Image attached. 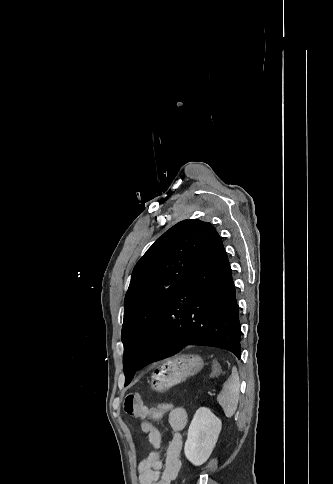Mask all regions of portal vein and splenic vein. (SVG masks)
Here are the masks:
<instances>
[{"mask_svg": "<svg viewBox=\"0 0 333 484\" xmlns=\"http://www.w3.org/2000/svg\"><path fill=\"white\" fill-rule=\"evenodd\" d=\"M207 393H208L209 396H214L215 395V390L208 391Z\"/></svg>", "mask_w": 333, "mask_h": 484, "instance_id": "obj_1", "label": "portal vein and splenic vein"}]
</instances>
